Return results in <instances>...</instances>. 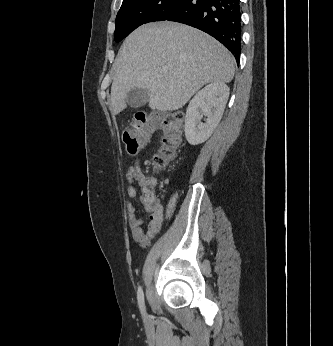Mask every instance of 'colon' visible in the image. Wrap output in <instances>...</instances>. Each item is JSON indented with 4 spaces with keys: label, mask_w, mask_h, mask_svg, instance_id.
I'll return each instance as SVG.
<instances>
[{
    "label": "colon",
    "mask_w": 333,
    "mask_h": 346,
    "mask_svg": "<svg viewBox=\"0 0 333 346\" xmlns=\"http://www.w3.org/2000/svg\"><path fill=\"white\" fill-rule=\"evenodd\" d=\"M183 114L179 111L160 116L155 112H138L132 123L123 131V141L129 154L134 155L142 150L149 138L161 128L163 135L161 147L153 156L152 166L162 169L175 157L181 144V121ZM155 182L147 179L146 194L152 192Z\"/></svg>",
    "instance_id": "colon-1"
}]
</instances>
